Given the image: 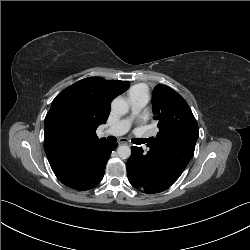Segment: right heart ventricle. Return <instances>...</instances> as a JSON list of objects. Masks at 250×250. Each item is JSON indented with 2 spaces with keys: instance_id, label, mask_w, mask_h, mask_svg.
<instances>
[{
  "instance_id": "right-heart-ventricle-1",
  "label": "right heart ventricle",
  "mask_w": 250,
  "mask_h": 250,
  "mask_svg": "<svg viewBox=\"0 0 250 250\" xmlns=\"http://www.w3.org/2000/svg\"><path fill=\"white\" fill-rule=\"evenodd\" d=\"M131 95H143L148 98V88L144 84L134 85L129 91V96Z\"/></svg>"
}]
</instances>
